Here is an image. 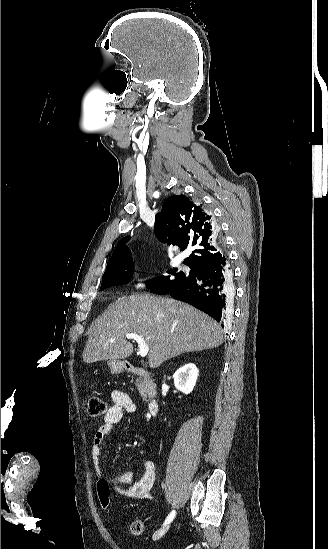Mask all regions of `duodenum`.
<instances>
[{"instance_id":"1","label":"duodenum","mask_w":328,"mask_h":549,"mask_svg":"<svg viewBox=\"0 0 328 549\" xmlns=\"http://www.w3.org/2000/svg\"><path fill=\"white\" fill-rule=\"evenodd\" d=\"M127 370L131 374H134V375H137V376H140V377H143V378L148 377L147 371L145 369H143L142 367H139V366H136V365H133V364H129V365H127ZM147 409H148L150 414H152V415L157 414L158 409H159V402L155 397H152V398L149 399L148 404H147Z\"/></svg>"}]
</instances>
